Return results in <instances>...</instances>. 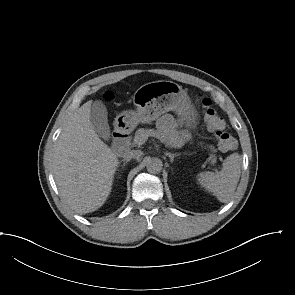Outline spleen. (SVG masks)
I'll return each mask as SVG.
<instances>
[{
    "instance_id": "spleen-1",
    "label": "spleen",
    "mask_w": 295,
    "mask_h": 295,
    "mask_svg": "<svg viewBox=\"0 0 295 295\" xmlns=\"http://www.w3.org/2000/svg\"><path fill=\"white\" fill-rule=\"evenodd\" d=\"M240 157L237 153L228 156L219 172H201L197 175L198 183L213 193L220 202L227 203L232 198L240 178Z\"/></svg>"
}]
</instances>
